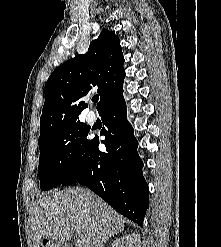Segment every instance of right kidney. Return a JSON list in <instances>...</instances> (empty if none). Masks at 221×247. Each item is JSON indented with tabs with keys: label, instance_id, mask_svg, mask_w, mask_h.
I'll return each mask as SVG.
<instances>
[{
	"label": "right kidney",
	"instance_id": "right-kidney-1",
	"mask_svg": "<svg viewBox=\"0 0 221 247\" xmlns=\"http://www.w3.org/2000/svg\"><path fill=\"white\" fill-rule=\"evenodd\" d=\"M112 247H141L139 234H126L112 243Z\"/></svg>",
	"mask_w": 221,
	"mask_h": 247
}]
</instances>
